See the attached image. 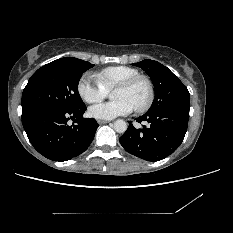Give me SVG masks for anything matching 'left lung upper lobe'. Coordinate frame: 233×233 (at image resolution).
<instances>
[{"instance_id": "5c2ea615", "label": "left lung upper lobe", "mask_w": 233, "mask_h": 233, "mask_svg": "<svg viewBox=\"0 0 233 233\" xmlns=\"http://www.w3.org/2000/svg\"><path fill=\"white\" fill-rule=\"evenodd\" d=\"M132 65L142 68L154 85L155 98L147 112L189 105L188 89L167 67L150 59Z\"/></svg>"}]
</instances>
